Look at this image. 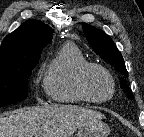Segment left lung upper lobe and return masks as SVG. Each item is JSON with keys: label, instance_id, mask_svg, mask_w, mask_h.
<instances>
[{"label": "left lung upper lobe", "instance_id": "left-lung-upper-lobe-1", "mask_svg": "<svg viewBox=\"0 0 144 137\" xmlns=\"http://www.w3.org/2000/svg\"><path fill=\"white\" fill-rule=\"evenodd\" d=\"M85 36L92 46L93 50L105 61L110 63L117 69L123 76H128L123 57L112 39L105 34L102 30L83 23ZM121 86L129 98L133 99L134 96L127 86V82L120 78Z\"/></svg>", "mask_w": 144, "mask_h": 137}]
</instances>
